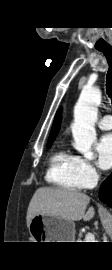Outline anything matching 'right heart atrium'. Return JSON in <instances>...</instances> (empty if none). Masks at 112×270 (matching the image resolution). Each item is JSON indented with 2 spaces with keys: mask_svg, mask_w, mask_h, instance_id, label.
<instances>
[{
  "mask_svg": "<svg viewBox=\"0 0 112 270\" xmlns=\"http://www.w3.org/2000/svg\"><path fill=\"white\" fill-rule=\"evenodd\" d=\"M76 170L82 188L92 187L99 178V172L95 165L83 157H76Z\"/></svg>",
  "mask_w": 112,
  "mask_h": 270,
  "instance_id": "right-heart-atrium-1",
  "label": "right heart atrium"
}]
</instances>
